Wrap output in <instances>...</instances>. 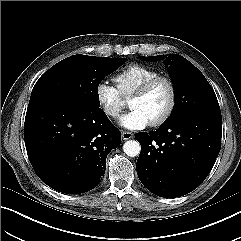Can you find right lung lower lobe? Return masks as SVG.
Instances as JSON below:
<instances>
[{"instance_id":"right-lung-lower-lobe-1","label":"right lung lower lobe","mask_w":241,"mask_h":241,"mask_svg":"<svg viewBox=\"0 0 241 241\" xmlns=\"http://www.w3.org/2000/svg\"><path fill=\"white\" fill-rule=\"evenodd\" d=\"M24 139L37 176L56 191L79 194L100 183L121 132L101 108L50 98L29 103Z\"/></svg>"}]
</instances>
